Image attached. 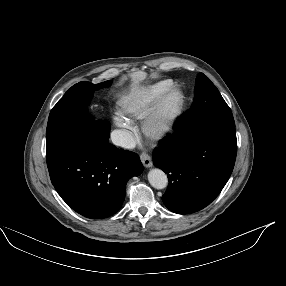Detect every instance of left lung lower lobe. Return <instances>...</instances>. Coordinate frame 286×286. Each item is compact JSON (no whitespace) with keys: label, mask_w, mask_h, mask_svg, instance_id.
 <instances>
[{"label":"left lung lower lobe","mask_w":286,"mask_h":286,"mask_svg":"<svg viewBox=\"0 0 286 286\" xmlns=\"http://www.w3.org/2000/svg\"><path fill=\"white\" fill-rule=\"evenodd\" d=\"M235 128L178 129L153 152L154 165L167 173L165 206L178 214L209 205L228 181L236 159Z\"/></svg>","instance_id":"1"}]
</instances>
